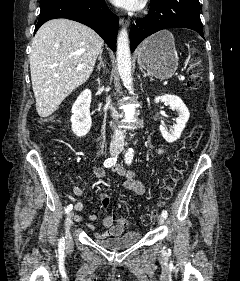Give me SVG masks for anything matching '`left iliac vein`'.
Instances as JSON below:
<instances>
[{
  "instance_id": "obj_1",
  "label": "left iliac vein",
  "mask_w": 240,
  "mask_h": 281,
  "mask_svg": "<svg viewBox=\"0 0 240 281\" xmlns=\"http://www.w3.org/2000/svg\"><path fill=\"white\" fill-rule=\"evenodd\" d=\"M157 222L159 225H163L164 224V217L162 215H159L157 217Z\"/></svg>"
}]
</instances>
